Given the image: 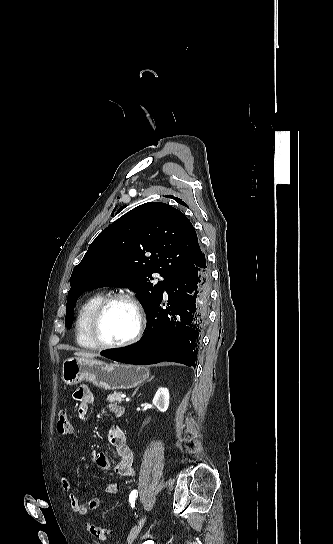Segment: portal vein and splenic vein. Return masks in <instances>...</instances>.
<instances>
[{"label": "portal vein and splenic vein", "mask_w": 333, "mask_h": 544, "mask_svg": "<svg viewBox=\"0 0 333 544\" xmlns=\"http://www.w3.org/2000/svg\"><path fill=\"white\" fill-rule=\"evenodd\" d=\"M121 398H126V394H121Z\"/></svg>", "instance_id": "18ae733b"}]
</instances>
